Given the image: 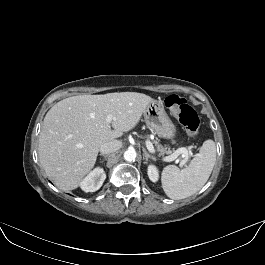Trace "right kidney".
Segmentation results:
<instances>
[{
    "label": "right kidney",
    "mask_w": 265,
    "mask_h": 265,
    "mask_svg": "<svg viewBox=\"0 0 265 265\" xmlns=\"http://www.w3.org/2000/svg\"><path fill=\"white\" fill-rule=\"evenodd\" d=\"M106 174L102 168H95L81 182V189L85 192H95L103 184Z\"/></svg>",
    "instance_id": "ca27d5eb"
}]
</instances>
